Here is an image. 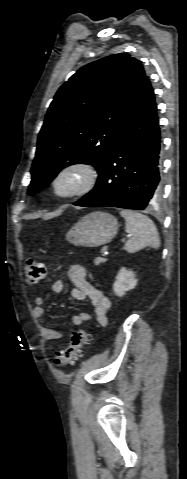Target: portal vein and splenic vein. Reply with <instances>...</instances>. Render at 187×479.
I'll list each match as a JSON object with an SVG mask.
<instances>
[{
  "label": "portal vein and splenic vein",
  "mask_w": 187,
  "mask_h": 479,
  "mask_svg": "<svg viewBox=\"0 0 187 479\" xmlns=\"http://www.w3.org/2000/svg\"><path fill=\"white\" fill-rule=\"evenodd\" d=\"M129 237V236H128ZM108 247H104L102 250H101V254L102 256H105L108 254V251H107Z\"/></svg>",
  "instance_id": "18ae733b"
}]
</instances>
